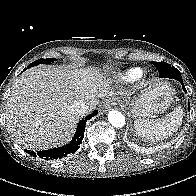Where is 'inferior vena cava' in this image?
<instances>
[{
  "label": "inferior vena cava",
  "mask_w": 196,
  "mask_h": 196,
  "mask_svg": "<svg viewBox=\"0 0 196 196\" xmlns=\"http://www.w3.org/2000/svg\"><path fill=\"white\" fill-rule=\"evenodd\" d=\"M70 112L74 114L75 116H82L87 112L89 109V106L87 105L86 102L82 100H75L71 105H70Z\"/></svg>",
  "instance_id": "inferior-vena-cava-1"
}]
</instances>
